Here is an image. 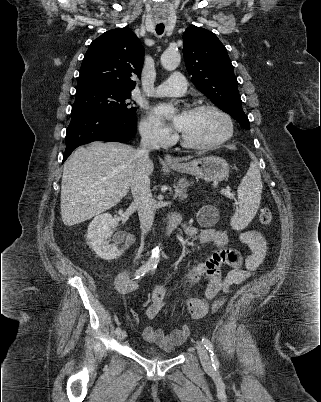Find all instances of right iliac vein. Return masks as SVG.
Returning <instances> with one entry per match:
<instances>
[{
  "label": "right iliac vein",
  "instance_id": "1",
  "mask_svg": "<svg viewBox=\"0 0 321 402\" xmlns=\"http://www.w3.org/2000/svg\"><path fill=\"white\" fill-rule=\"evenodd\" d=\"M126 331H121L118 335H117V339L119 340V341H122V340H124L125 338H126Z\"/></svg>",
  "mask_w": 321,
  "mask_h": 402
}]
</instances>
